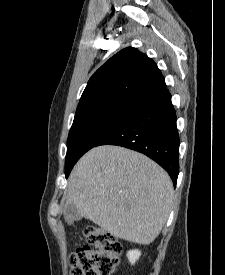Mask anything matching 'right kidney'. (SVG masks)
I'll use <instances>...</instances> for the list:
<instances>
[{
  "instance_id": "1",
  "label": "right kidney",
  "mask_w": 225,
  "mask_h": 275,
  "mask_svg": "<svg viewBox=\"0 0 225 275\" xmlns=\"http://www.w3.org/2000/svg\"><path fill=\"white\" fill-rule=\"evenodd\" d=\"M141 252L139 250H130L127 253L128 260L131 264H135V262L139 259Z\"/></svg>"
}]
</instances>
